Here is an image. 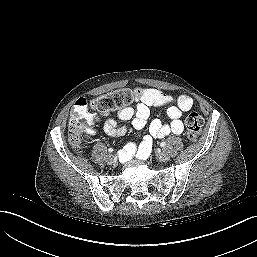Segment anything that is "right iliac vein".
<instances>
[{
	"label": "right iliac vein",
	"mask_w": 257,
	"mask_h": 257,
	"mask_svg": "<svg viewBox=\"0 0 257 257\" xmlns=\"http://www.w3.org/2000/svg\"><path fill=\"white\" fill-rule=\"evenodd\" d=\"M116 161H117V158H116V156H114V155H109V156L107 157V162H108L109 164H114V163H116Z\"/></svg>",
	"instance_id": "63e3f726"
}]
</instances>
